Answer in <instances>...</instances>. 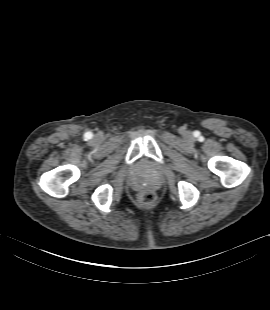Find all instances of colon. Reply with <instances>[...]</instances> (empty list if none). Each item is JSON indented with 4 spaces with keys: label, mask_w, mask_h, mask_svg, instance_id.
I'll return each instance as SVG.
<instances>
[{
    "label": "colon",
    "mask_w": 270,
    "mask_h": 310,
    "mask_svg": "<svg viewBox=\"0 0 270 310\" xmlns=\"http://www.w3.org/2000/svg\"><path fill=\"white\" fill-rule=\"evenodd\" d=\"M139 202L143 205H150L155 200V193L152 190L146 189L139 194Z\"/></svg>",
    "instance_id": "5ec220e1"
}]
</instances>
